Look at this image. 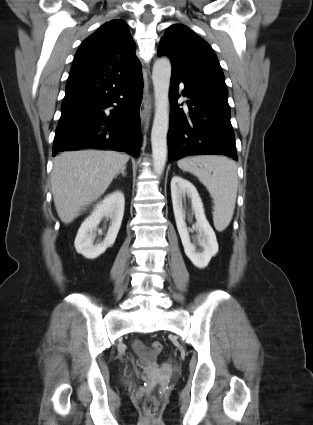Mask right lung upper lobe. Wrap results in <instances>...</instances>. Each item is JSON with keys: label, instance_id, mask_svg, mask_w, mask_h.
Returning <instances> with one entry per match:
<instances>
[{"label": "right lung upper lobe", "instance_id": "cb5924a9", "mask_svg": "<svg viewBox=\"0 0 313 425\" xmlns=\"http://www.w3.org/2000/svg\"><path fill=\"white\" fill-rule=\"evenodd\" d=\"M135 44L122 19L106 22L77 50L69 75L106 70L130 72L140 67Z\"/></svg>", "mask_w": 313, "mask_h": 425}]
</instances>
